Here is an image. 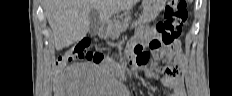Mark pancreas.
Segmentation results:
<instances>
[{"instance_id":"pancreas-1","label":"pancreas","mask_w":232,"mask_h":96,"mask_svg":"<svg viewBox=\"0 0 232 96\" xmlns=\"http://www.w3.org/2000/svg\"><path fill=\"white\" fill-rule=\"evenodd\" d=\"M131 19L128 13H124L120 17L114 18L113 22L108 23V31L111 37H118L120 32L125 31L128 22Z\"/></svg>"}]
</instances>
